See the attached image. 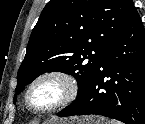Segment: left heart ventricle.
Here are the masks:
<instances>
[{
    "label": "left heart ventricle",
    "instance_id": "b2bd125f",
    "mask_svg": "<svg viewBox=\"0 0 145 124\" xmlns=\"http://www.w3.org/2000/svg\"><path fill=\"white\" fill-rule=\"evenodd\" d=\"M60 87L55 83L39 86L32 94V101L37 105H46L58 98Z\"/></svg>",
    "mask_w": 145,
    "mask_h": 124
}]
</instances>
